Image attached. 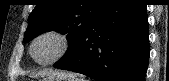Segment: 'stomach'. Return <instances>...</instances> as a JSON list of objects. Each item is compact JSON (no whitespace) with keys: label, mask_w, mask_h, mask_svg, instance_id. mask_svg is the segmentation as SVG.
I'll list each match as a JSON object with an SVG mask.
<instances>
[{"label":"stomach","mask_w":169,"mask_h":81,"mask_svg":"<svg viewBox=\"0 0 169 81\" xmlns=\"http://www.w3.org/2000/svg\"><path fill=\"white\" fill-rule=\"evenodd\" d=\"M41 81H73V80H70L69 78L60 75H50L47 77H43Z\"/></svg>","instance_id":"0dacf381"}]
</instances>
